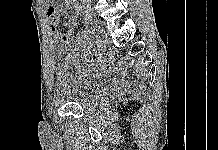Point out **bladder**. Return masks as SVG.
I'll use <instances>...</instances> for the list:
<instances>
[{
	"label": "bladder",
	"instance_id": "1",
	"mask_svg": "<svg viewBox=\"0 0 218 150\" xmlns=\"http://www.w3.org/2000/svg\"><path fill=\"white\" fill-rule=\"evenodd\" d=\"M76 58L73 55L62 60L56 75V88L65 101L86 107L91 103L93 91L89 87V78L84 77L76 65Z\"/></svg>",
	"mask_w": 218,
	"mask_h": 150
}]
</instances>
